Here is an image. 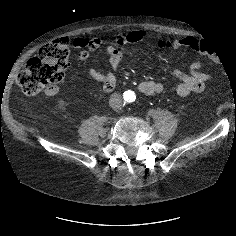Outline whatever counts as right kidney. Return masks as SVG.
I'll return each instance as SVG.
<instances>
[{
	"mask_svg": "<svg viewBox=\"0 0 236 236\" xmlns=\"http://www.w3.org/2000/svg\"><path fill=\"white\" fill-rule=\"evenodd\" d=\"M61 106H63V104H62V103H60V104H59V107H61Z\"/></svg>",
	"mask_w": 236,
	"mask_h": 236,
	"instance_id": "obj_1",
	"label": "right kidney"
}]
</instances>
